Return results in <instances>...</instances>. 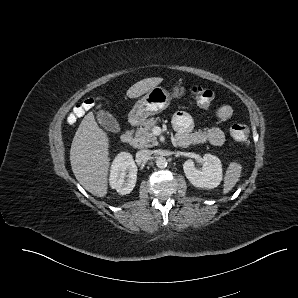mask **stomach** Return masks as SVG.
<instances>
[{"instance_id": "1", "label": "stomach", "mask_w": 298, "mask_h": 298, "mask_svg": "<svg viewBox=\"0 0 298 298\" xmlns=\"http://www.w3.org/2000/svg\"><path fill=\"white\" fill-rule=\"evenodd\" d=\"M184 89L177 86L174 89L175 96L178 97L183 93ZM171 101V95L161 86L152 87L143 97L137 100L134 104L130 117L143 121L149 116L161 113L164 111Z\"/></svg>"}]
</instances>
